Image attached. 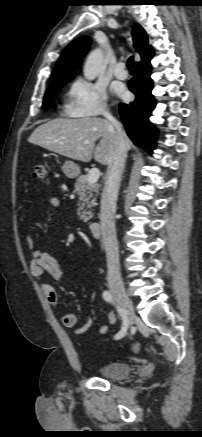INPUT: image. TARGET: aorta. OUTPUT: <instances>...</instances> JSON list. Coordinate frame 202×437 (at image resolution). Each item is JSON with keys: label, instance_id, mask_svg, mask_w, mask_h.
<instances>
[{"label": "aorta", "instance_id": "obj_1", "mask_svg": "<svg viewBox=\"0 0 202 437\" xmlns=\"http://www.w3.org/2000/svg\"><path fill=\"white\" fill-rule=\"evenodd\" d=\"M106 69L104 62V53L102 49L97 48L93 50L87 57L84 65V77L87 80H94L98 74L102 73Z\"/></svg>", "mask_w": 202, "mask_h": 437}]
</instances>
